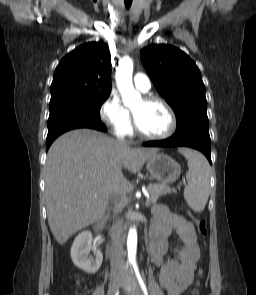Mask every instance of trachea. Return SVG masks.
I'll return each mask as SVG.
<instances>
[{"mask_svg": "<svg viewBox=\"0 0 256 295\" xmlns=\"http://www.w3.org/2000/svg\"><path fill=\"white\" fill-rule=\"evenodd\" d=\"M124 2H125L126 8L129 9L132 4V0H124Z\"/></svg>", "mask_w": 256, "mask_h": 295, "instance_id": "3493384b", "label": "trachea"}]
</instances>
